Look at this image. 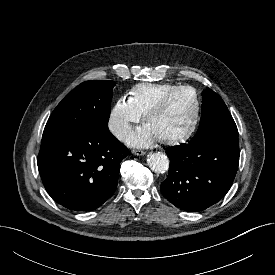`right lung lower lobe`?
I'll use <instances>...</instances> for the list:
<instances>
[{"instance_id":"right-lung-lower-lobe-1","label":"right lung lower lobe","mask_w":275,"mask_h":275,"mask_svg":"<svg viewBox=\"0 0 275 275\" xmlns=\"http://www.w3.org/2000/svg\"><path fill=\"white\" fill-rule=\"evenodd\" d=\"M129 153L108 127L81 134L42 137L39 173L54 201L73 211H92L117 188L119 165Z\"/></svg>"}]
</instances>
